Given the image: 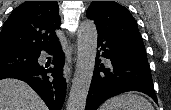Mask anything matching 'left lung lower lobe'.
<instances>
[{
	"mask_svg": "<svg viewBox=\"0 0 171 110\" xmlns=\"http://www.w3.org/2000/svg\"><path fill=\"white\" fill-rule=\"evenodd\" d=\"M97 47L100 52L95 59L86 110H96L108 98L127 91L143 92L158 103L146 56L122 48L100 36ZM100 56L109 59V68L101 64Z\"/></svg>",
	"mask_w": 171,
	"mask_h": 110,
	"instance_id": "left-lung-lower-lobe-1",
	"label": "left lung lower lobe"
}]
</instances>
